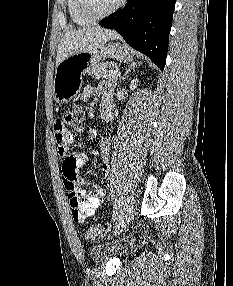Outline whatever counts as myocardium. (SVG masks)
Returning a JSON list of instances; mask_svg holds the SVG:
<instances>
[{
  "label": "myocardium",
  "mask_w": 233,
  "mask_h": 286,
  "mask_svg": "<svg viewBox=\"0 0 233 286\" xmlns=\"http://www.w3.org/2000/svg\"><path fill=\"white\" fill-rule=\"evenodd\" d=\"M125 0H118L117 3L109 10L101 13V14H94L90 8L89 0H79V7L82 15L90 20L91 22L102 20L112 14H114L118 9H120Z\"/></svg>",
  "instance_id": "1"
}]
</instances>
